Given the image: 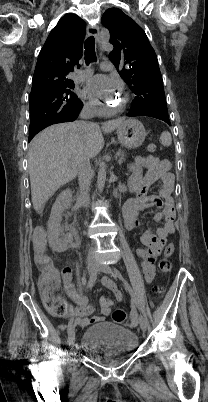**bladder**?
I'll list each match as a JSON object with an SVG mask.
<instances>
[{
    "label": "bladder",
    "mask_w": 208,
    "mask_h": 402,
    "mask_svg": "<svg viewBox=\"0 0 208 402\" xmlns=\"http://www.w3.org/2000/svg\"><path fill=\"white\" fill-rule=\"evenodd\" d=\"M136 332L113 323L92 324L81 338V348H87L96 362L117 365L136 349Z\"/></svg>",
    "instance_id": "obj_1"
}]
</instances>
